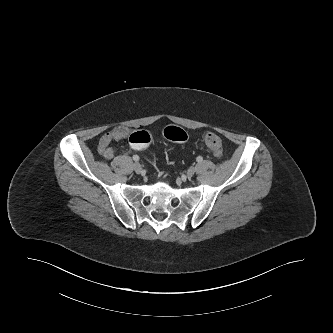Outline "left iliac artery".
Wrapping results in <instances>:
<instances>
[{
    "mask_svg": "<svg viewBox=\"0 0 333 333\" xmlns=\"http://www.w3.org/2000/svg\"><path fill=\"white\" fill-rule=\"evenodd\" d=\"M196 160H197V162H201V161L203 160V158H202L201 156H198V157L196 158Z\"/></svg>",
    "mask_w": 333,
    "mask_h": 333,
    "instance_id": "obj_1",
    "label": "left iliac artery"
}]
</instances>
